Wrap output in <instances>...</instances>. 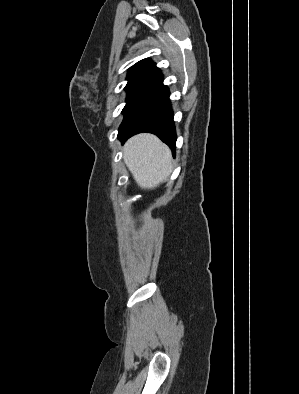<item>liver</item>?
<instances>
[{
	"label": "liver",
	"instance_id": "obj_1",
	"mask_svg": "<svg viewBox=\"0 0 299 394\" xmlns=\"http://www.w3.org/2000/svg\"><path fill=\"white\" fill-rule=\"evenodd\" d=\"M123 159L142 189H153L172 172L170 149L155 135L142 133L130 138L123 148Z\"/></svg>",
	"mask_w": 299,
	"mask_h": 394
}]
</instances>
